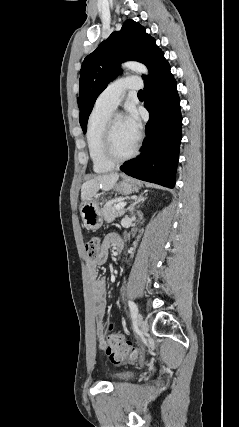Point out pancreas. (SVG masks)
I'll return each mask as SVG.
<instances>
[{
    "mask_svg": "<svg viewBox=\"0 0 239 427\" xmlns=\"http://www.w3.org/2000/svg\"><path fill=\"white\" fill-rule=\"evenodd\" d=\"M116 203H117L116 200L108 202L104 205V207L101 210L102 216L107 223H111L116 218L124 215V209H120V210L115 209Z\"/></svg>",
    "mask_w": 239,
    "mask_h": 427,
    "instance_id": "obj_1",
    "label": "pancreas"
}]
</instances>
